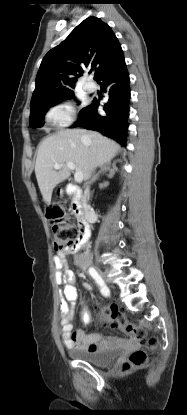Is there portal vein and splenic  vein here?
<instances>
[{
    "mask_svg": "<svg viewBox=\"0 0 187 415\" xmlns=\"http://www.w3.org/2000/svg\"><path fill=\"white\" fill-rule=\"evenodd\" d=\"M66 166L71 170H76L75 175H74V179L77 183H81L83 181L82 171L78 170L73 162H67ZM60 167H61L60 164H55L54 165V169H56V170L60 169Z\"/></svg>",
    "mask_w": 187,
    "mask_h": 415,
    "instance_id": "1",
    "label": "portal vein and splenic vein"
}]
</instances>
